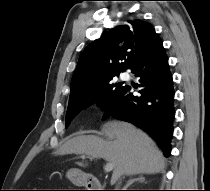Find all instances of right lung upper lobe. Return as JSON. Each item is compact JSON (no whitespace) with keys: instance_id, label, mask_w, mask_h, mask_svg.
I'll return each mask as SVG.
<instances>
[{"instance_id":"right-lung-upper-lobe-1","label":"right lung upper lobe","mask_w":210,"mask_h":191,"mask_svg":"<svg viewBox=\"0 0 210 191\" xmlns=\"http://www.w3.org/2000/svg\"><path fill=\"white\" fill-rule=\"evenodd\" d=\"M129 23L103 33L83 50L72 76L69 99L88 93L107 76L130 69L158 37L150 23L138 19Z\"/></svg>"}]
</instances>
